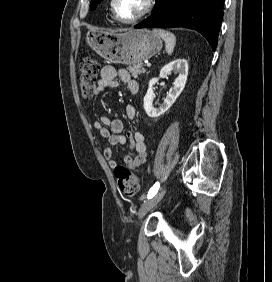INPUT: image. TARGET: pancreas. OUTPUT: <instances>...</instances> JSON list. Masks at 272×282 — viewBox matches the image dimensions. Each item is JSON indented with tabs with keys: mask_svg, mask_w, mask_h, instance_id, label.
<instances>
[{
	"mask_svg": "<svg viewBox=\"0 0 272 282\" xmlns=\"http://www.w3.org/2000/svg\"><path fill=\"white\" fill-rule=\"evenodd\" d=\"M128 71L134 78H137L138 75L145 73L146 70L143 68V65L140 63L138 65H132L128 67Z\"/></svg>",
	"mask_w": 272,
	"mask_h": 282,
	"instance_id": "pancreas-1",
	"label": "pancreas"
}]
</instances>
